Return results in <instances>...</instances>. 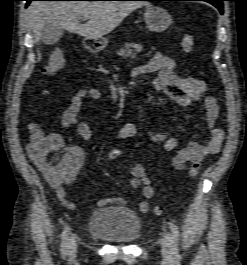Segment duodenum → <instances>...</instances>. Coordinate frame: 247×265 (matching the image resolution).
Returning <instances> with one entry per match:
<instances>
[{"label":"duodenum","instance_id":"410a0bca","mask_svg":"<svg viewBox=\"0 0 247 265\" xmlns=\"http://www.w3.org/2000/svg\"><path fill=\"white\" fill-rule=\"evenodd\" d=\"M90 49H95L93 44L88 45Z\"/></svg>","mask_w":247,"mask_h":265}]
</instances>
